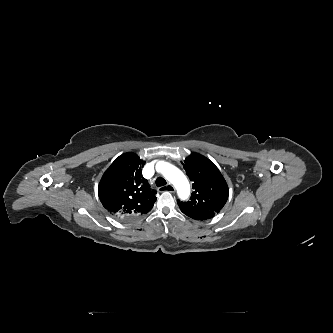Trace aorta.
Here are the masks:
<instances>
[{
	"mask_svg": "<svg viewBox=\"0 0 333 333\" xmlns=\"http://www.w3.org/2000/svg\"><path fill=\"white\" fill-rule=\"evenodd\" d=\"M156 167L161 168V173L175 186L180 199L185 200L189 197L190 184L182 171L165 162L157 163Z\"/></svg>",
	"mask_w": 333,
	"mask_h": 333,
	"instance_id": "aorta-1",
	"label": "aorta"
}]
</instances>
